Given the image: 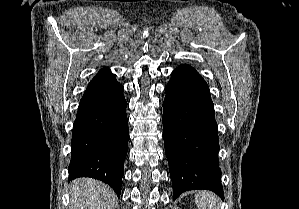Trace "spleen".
<instances>
[{
	"mask_svg": "<svg viewBox=\"0 0 299 209\" xmlns=\"http://www.w3.org/2000/svg\"><path fill=\"white\" fill-rule=\"evenodd\" d=\"M198 209H219L218 197L209 191H199L195 194Z\"/></svg>",
	"mask_w": 299,
	"mask_h": 209,
	"instance_id": "spleen-1",
	"label": "spleen"
}]
</instances>
